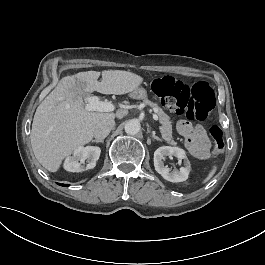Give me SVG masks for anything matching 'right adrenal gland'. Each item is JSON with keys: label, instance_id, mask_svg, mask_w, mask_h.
I'll return each instance as SVG.
<instances>
[{"label": "right adrenal gland", "instance_id": "right-adrenal-gland-1", "mask_svg": "<svg viewBox=\"0 0 265 265\" xmlns=\"http://www.w3.org/2000/svg\"><path fill=\"white\" fill-rule=\"evenodd\" d=\"M92 142H95V143H99V142L104 143V140L103 139H101V140L95 139V140H92Z\"/></svg>", "mask_w": 265, "mask_h": 265}]
</instances>
